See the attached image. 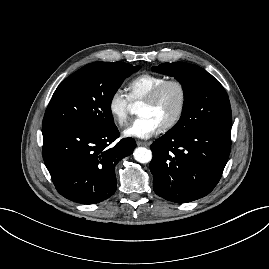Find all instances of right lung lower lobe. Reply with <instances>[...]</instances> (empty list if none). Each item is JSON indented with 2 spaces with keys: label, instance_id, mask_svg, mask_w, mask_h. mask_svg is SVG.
<instances>
[{
  "label": "right lung lower lobe",
  "instance_id": "right-lung-lower-lobe-1",
  "mask_svg": "<svg viewBox=\"0 0 269 269\" xmlns=\"http://www.w3.org/2000/svg\"><path fill=\"white\" fill-rule=\"evenodd\" d=\"M43 158L57 191L79 204H95L117 188L115 165L136 147L132 138L119 137L116 126L95 130L76 124L44 127Z\"/></svg>",
  "mask_w": 269,
  "mask_h": 269
}]
</instances>
